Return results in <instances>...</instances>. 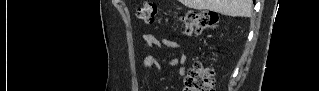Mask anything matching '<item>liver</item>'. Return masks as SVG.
<instances>
[{
	"label": "liver",
	"mask_w": 319,
	"mask_h": 91,
	"mask_svg": "<svg viewBox=\"0 0 319 91\" xmlns=\"http://www.w3.org/2000/svg\"><path fill=\"white\" fill-rule=\"evenodd\" d=\"M188 8L211 10L232 17H249L252 12V0H180Z\"/></svg>",
	"instance_id": "liver-1"
}]
</instances>
